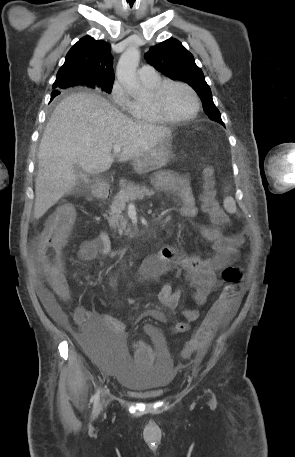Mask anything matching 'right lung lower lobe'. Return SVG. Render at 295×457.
<instances>
[{"mask_svg":"<svg viewBox=\"0 0 295 457\" xmlns=\"http://www.w3.org/2000/svg\"><path fill=\"white\" fill-rule=\"evenodd\" d=\"M58 94H59L58 91H57V92H56V91H53L52 94H51V100H52L55 96H57Z\"/></svg>","mask_w":295,"mask_h":457,"instance_id":"98d812e1","label":"right lung lower lobe"}]
</instances>
